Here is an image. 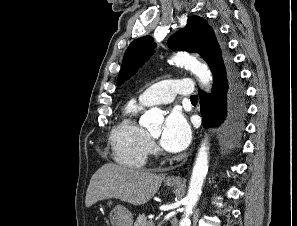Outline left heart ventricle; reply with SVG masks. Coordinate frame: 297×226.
<instances>
[{
	"instance_id": "obj_1",
	"label": "left heart ventricle",
	"mask_w": 297,
	"mask_h": 226,
	"mask_svg": "<svg viewBox=\"0 0 297 226\" xmlns=\"http://www.w3.org/2000/svg\"><path fill=\"white\" fill-rule=\"evenodd\" d=\"M151 134H152L154 137H157V136L160 134V129L151 131Z\"/></svg>"
}]
</instances>
